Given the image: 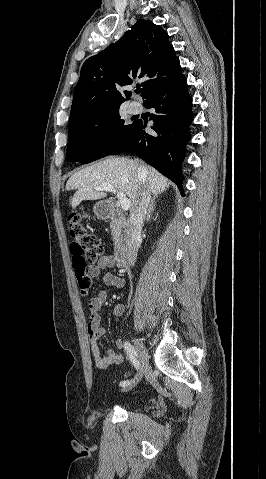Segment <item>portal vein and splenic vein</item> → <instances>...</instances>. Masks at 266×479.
<instances>
[{
    "instance_id": "portal-vein-and-splenic-vein-1",
    "label": "portal vein and splenic vein",
    "mask_w": 266,
    "mask_h": 479,
    "mask_svg": "<svg viewBox=\"0 0 266 479\" xmlns=\"http://www.w3.org/2000/svg\"><path fill=\"white\" fill-rule=\"evenodd\" d=\"M95 190H98V191H106V192H111V193H116L117 194V198L121 204V208L122 210L126 211L130 208L131 206V201L130 199L126 198V196L121 193V192H118L112 185H109V184H103L101 186H97L95 187Z\"/></svg>"
}]
</instances>
